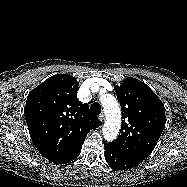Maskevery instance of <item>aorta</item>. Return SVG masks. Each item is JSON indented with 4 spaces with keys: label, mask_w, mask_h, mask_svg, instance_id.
<instances>
[{
    "label": "aorta",
    "mask_w": 187,
    "mask_h": 187,
    "mask_svg": "<svg viewBox=\"0 0 187 187\" xmlns=\"http://www.w3.org/2000/svg\"><path fill=\"white\" fill-rule=\"evenodd\" d=\"M101 102L106 115L103 137L107 141H113L117 138L121 128V109L117 100L111 94L104 95Z\"/></svg>",
    "instance_id": "1"
}]
</instances>
